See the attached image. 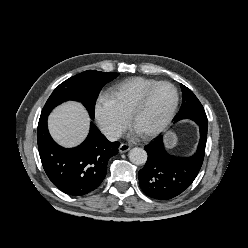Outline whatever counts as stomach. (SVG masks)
<instances>
[{"instance_id":"1","label":"stomach","mask_w":248,"mask_h":248,"mask_svg":"<svg viewBox=\"0 0 248 248\" xmlns=\"http://www.w3.org/2000/svg\"><path fill=\"white\" fill-rule=\"evenodd\" d=\"M166 146L171 149L177 145V136L173 132H169L165 137Z\"/></svg>"}]
</instances>
